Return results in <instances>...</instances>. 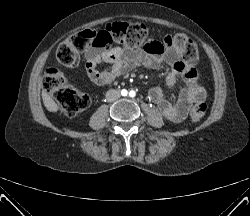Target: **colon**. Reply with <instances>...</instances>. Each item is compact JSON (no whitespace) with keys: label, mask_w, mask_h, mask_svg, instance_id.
Wrapping results in <instances>:
<instances>
[{"label":"colon","mask_w":250,"mask_h":216,"mask_svg":"<svg viewBox=\"0 0 250 216\" xmlns=\"http://www.w3.org/2000/svg\"><path fill=\"white\" fill-rule=\"evenodd\" d=\"M152 40L143 24L115 22L101 29H86L71 35L58 47L57 59L62 66L69 68L76 66L80 60V53L89 48L105 49L116 43L136 49ZM164 40L178 51L184 63L190 66L197 63L198 48L191 37L177 33L167 35ZM43 87L67 116H76L91 104V97L73 88L68 83L64 71L58 66L46 70ZM206 109L204 102L196 103L190 112V120L194 123L201 121Z\"/></svg>","instance_id":"obj_1"}]
</instances>
